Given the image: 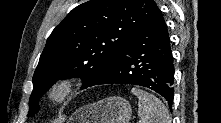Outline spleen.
Here are the masks:
<instances>
[{
  "label": "spleen",
  "instance_id": "spleen-1",
  "mask_svg": "<svg viewBox=\"0 0 221 123\" xmlns=\"http://www.w3.org/2000/svg\"><path fill=\"white\" fill-rule=\"evenodd\" d=\"M131 92L138 98L141 123H171L168 109L156 96L135 87Z\"/></svg>",
  "mask_w": 221,
  "mask_h": 123
}]
</instances>
